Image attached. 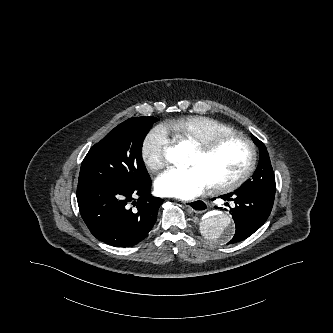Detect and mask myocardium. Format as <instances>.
<instances>
[{"label":"myocardium","instance_id":"1","mask_svg":"<svg viewBox=\"0 0 333 333\" xmlns=\"http://www.w3.org/2000/svg\"><path fill=\"white\" fill-rule=\"evenodd\" d=\"M230 141H240L245 143L250 152V159L248 162L247 167L236 177L226 180V181H218L211 184V186L217 191H230L233 189L238 188L243 183H245L250 176L253 174L256 164H257V148L254 142L247 136L232 133V134H225L217 136L211 140L206 142L200 143L196 145V149L202 155H210L214 151H216L220 146L223 144L230 142Z\"/></svg>","mask_w":333,"mask_h":333}]
</instances>
